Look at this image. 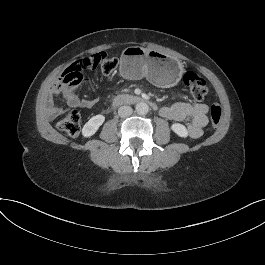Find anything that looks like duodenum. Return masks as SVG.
<instances>
[{
	"label": "duodenum",
	"instance_id": "410a0bca",
	"mask_svg": "<svg viewBox=\"0 0 265 265\" xmlns=\"http://www.w3.org/2000/svg\"><path fill=\"white\" fill-rule=\"evenodd\" d=\"M138 103H147L150 105L153 109H157V106L155 103L146 101L138 96H131V95H122L118 96L113 100L114 106H120L124 104H138Z\"/></svg>",
	"mask_w": 265,
	"mask_h": 265
}]
</instances>
